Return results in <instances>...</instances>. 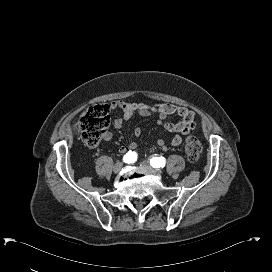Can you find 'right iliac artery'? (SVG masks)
I'll use <instances>...</instances> for the list:
<instances>
[{
    "label": "right iliac artery",
    "mask_w": 272,
    "mask_h": 272,
    "mask_svg": "<svg viewBox=\"0 0 272 272\" xmlns=\"http://www.w3.org/2000/svg\"><path fill=\"white\" fill-rule=\"evenodd\" d=\"M137 160V154L135 152L129 151L123 157L125 163H134Z\"/></svg>",
    "instance_id": "82829eb1"
}]
</instances>
